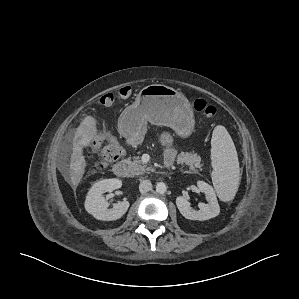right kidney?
<instances>
[{
    "label": "right kidney",
    "instance_id": "obj_1",
    "mask_svg": "<svg viewBox=\"0 0 299 299\" xmlns=\"http://www.w3.org/2000/svg\"><path fill=\"white\" fill-rule=\"evenodd\" d=\"M122 186V181L116 178L97 181L88 191L85 209L94 218L103 221H113L121 218L128 210L130 203L121 201L109 207L104 193L112 192Z\"/></svg>",
    "mask_w": 299,
    "mask_h": 299
}]
</instances>
